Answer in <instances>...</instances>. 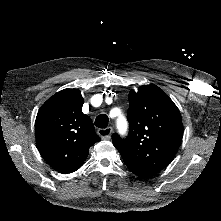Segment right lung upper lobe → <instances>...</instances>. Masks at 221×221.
<instances>
[{"instance_id": "cb5924a9", "label": "right lung upper lobe", "mask_w": 221, "mask_h": 221, "mask_svg": "<svg viewBox=\"0 0 221 221\" xmlns=\"http://www.w3.org/2000/svg\"><path fill=\"white\" fill-rule=\"evenodd\" d=\"M80 90L64 89L39 109L36 145L44 160L56 171L71 173L86 160L89 148L101 139L92 120L82 113Z\"/></svg>"}]
</instances>
